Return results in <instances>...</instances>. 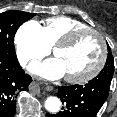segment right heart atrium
Instances as JSON below:
<instances>
[{"label": "right heart atrium", "instance_id": "1", "mask_svg": "<svg viewBox=\"0 0 117 117\" xmlns=\"http://www.w3.org/2000/svg\"><path fill=\"white\" fill-rule=\"evenodd\" d=\"M14 40L17 57L23 66L37 62L50 52L43 39L41 26L36 21L24 23L17 30Z\"/></svg>", "mask_w": 117, "mask_h": 117}]
</instances>
